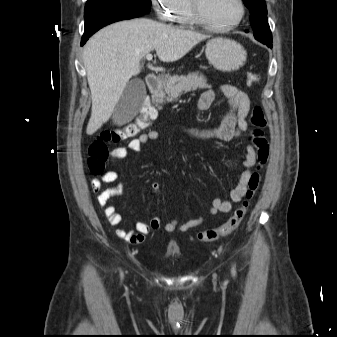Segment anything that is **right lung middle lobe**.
I'll list each match as a JSON object with an SVG mask.
<instances>
[{
	"mask_svg": "<svg viewBox=\"0 0 337 337\" xmlns=\"http://www.w3.org/2000/svg\"><path fill=\"white\" fill-rule=\"evenodd\" d=\"M151 0H87L84 18L101 10L124 8L149 13Z\"/></svg>",
	"mask_w": 337,
	"mask_h": 337,
	"instance_id": "1",
	"label": "right lung middle lobe"
}]
</instances>
